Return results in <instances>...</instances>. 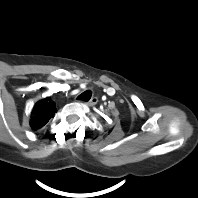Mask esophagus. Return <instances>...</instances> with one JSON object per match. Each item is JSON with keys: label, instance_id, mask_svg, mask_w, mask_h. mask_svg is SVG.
<instances>
[{"label": "esophagus", "instance_id": "1", "mask_svg": "<svg viewBox=\"0 0 198 198\" xmlns=\"http://www.w3.org/2000/svg\"><path fill=\"white\" fill-rule=\"evenodd\" d=\"M97 102H98V98H97V97H93V98H91V100L87 103V105H89V106H94V105L97 104Z\"/></svg>", "mask_w": 198, "mask_h": 198}]
</instances>
